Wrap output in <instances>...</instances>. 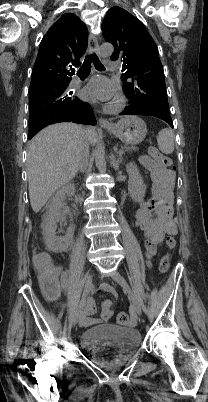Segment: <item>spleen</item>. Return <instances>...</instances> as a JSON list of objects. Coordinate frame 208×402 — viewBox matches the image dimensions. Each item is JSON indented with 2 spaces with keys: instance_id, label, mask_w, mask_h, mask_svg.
Wrapping results in <instances>:
<instances>
[{
  "instance_id": "3e777b00",
  "label": "spleen",
  "mask_w": 208,
  "mask_h": 402,
  "mask_svg": "<svg viewBox=\"0 0 208 402\" xmlns=\"http://www.w3.org/2000/svg\"><path fill=\"white\" fill-rule=\"evenodd\" d=\"M157 142L160 152L163 154H172L174 152V138L171 130L164 128L157 136Z\"/></svg>"
}]
</instances>
